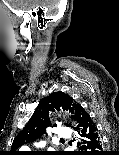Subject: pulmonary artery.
<instances>
[{"label": "pulmonary artery", "mask_w": 119, "mask_h": 155, "mask_svg": "<svg viewBox=\"0 0 119 155\" xmlns=\"http://www.w3.org/2000/svg\"><path fill=\"white\" fill-rule=\"evenodd\" d=\"M57 136L59 139H67L70 137V131L65 127H60L57 130Z\"/></svg>", "instance_id": "pulmonary-artery-1"}]
</instances>
